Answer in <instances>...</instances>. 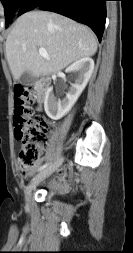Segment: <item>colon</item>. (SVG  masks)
Instances as JSON below:
<instances>
[{
    "instance_id": "1",
    "label": "colon",
    "mask_w": 133,
    "mask_h": 253,
    "mask_svg": "<svg viewBox=\"0 0 133 253\" xmlns=\"http://www.w3.org/2000/svg\"><path fill=\"white\" fill-rule=\"evenodd\" d=\"M34 102L35 94L30 87L19 86L15 89L14 135L22 143L18 166L23 171L38 163L47 141L48 122L43 117L34 116Z\"/></svg>"
}]
</instances>
